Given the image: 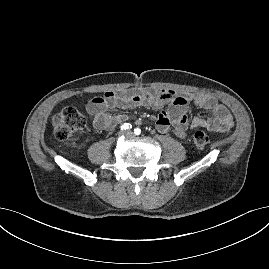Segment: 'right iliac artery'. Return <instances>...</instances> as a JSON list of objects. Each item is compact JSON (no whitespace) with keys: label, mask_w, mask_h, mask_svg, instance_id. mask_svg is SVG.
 Returning <instances> with one entry per match:
<instances>
[{"label":"right iliac artery","mask_w":269,"mask_h":269,"mask_svg":"<svg viewBox=\"0 0 269 269\" xmlns=\"http://www.w3.org/2000/svg\"><path fill=\"white\" fill-rule=\"evenodd\" d=\"M131 128H132V126L129 123H124L123 125H121L122 130H127V129H131Z\"/></svg>","instance_id":"1"}]
</instances>
